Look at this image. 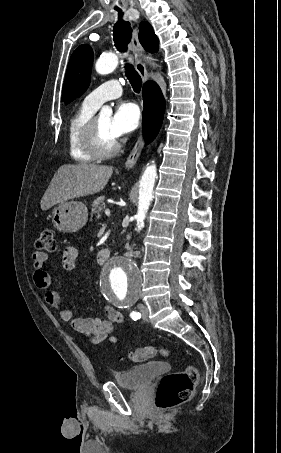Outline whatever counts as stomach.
<instances>
[{
    "mask_svg": "<svg viewBox=\"0 0 281 453\" xmlns=\"http://www.w3.org/2000/svg\"><path fill=\"white\" fill-rule=\"evenodd\" d=\"M88 220V208L83 202H61L52 210L53 227L60 233H77Z\"/></svg>",
    "mask_w": 281,
    "mask_h": 453,
    "instance_id": "1",
    "label": "stomach"
}]
</instances>
